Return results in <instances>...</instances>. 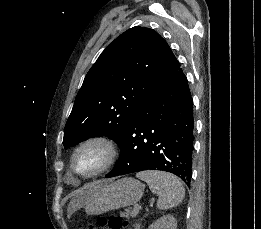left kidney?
<instances>
[{"instance_id":"obj_1","label":"left kidney","mask_w":261,"mask_h":229,"mask_svg":"<svg viewBox=\"0 0 261 229\" xmlns=\"http://www.w3.org/2000/svg\"><path fill=\"white\" fill-rule=\"evenodd\" d=\"M148 229H177V221L172 215H164V217L152 223Z\"/></svg>"}]
</instances>
